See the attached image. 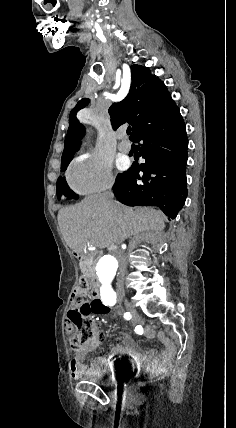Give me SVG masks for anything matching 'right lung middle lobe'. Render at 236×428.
<instances>
[{
	"label": "right lung middle lobe",
	"instance_id": "dd1d6c3e",
	"mask_svg": "<svg viewBox=\"0 0 236 428\" xmlns=\"http://www.w3.org/2000/svg\"><path fill=\"white\" fill-rule=\"evenodd\" d=\"M65 170L62 169L61 171ZM61 195H64L68 199H78V195L69 189L65 178L59 177L57 180V197L60 199Z\"/></svg>",
	"mask_w": 236,
	"mask_h": 428
}]
</instances>
